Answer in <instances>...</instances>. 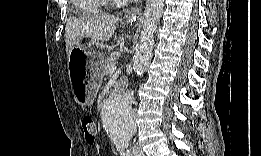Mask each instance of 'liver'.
I'll use <instances>...</instances> for the list:
<instances>
[{
  "label": "liver",
  "instance_id": "6515ba94",
  "mask_svg": "<svg viewBox=\"0 0 261 156\" xmlns=\"http://www.w3.org/2000/svg\"><path fill=\"white\" fill-rule=\"evenodd\" d=\"M118 24V17L108 14L82 15L68 19L65 27V44L67 57L82 39L92 42L109 41Z\"/></svg>",
  "mask_w": 261,
  "mask_h": 156
}]
</instances>
